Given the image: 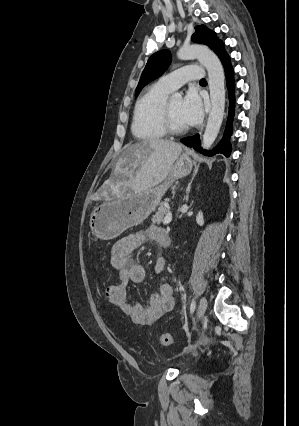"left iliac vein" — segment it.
I'll return each mask as SVG.
<instances>
[{"mask_svg": "<svg viewBox=\"0 0 299 426\" xmlns=\"http://www.w3.org/2000/svg\"><path fill=\"white\" fill-rule=\"evenodd\" d=\"M206 308H207V300H206L205 297H202L200 299L198 309H197V318L198 319H200L204 316Z\"/></svg>", "mask_w": 299, "mask_h": 426, "instance_id": "1", "label": "left iliac vein"}]
</instances>
